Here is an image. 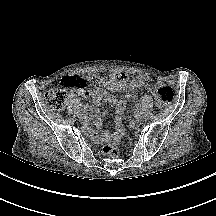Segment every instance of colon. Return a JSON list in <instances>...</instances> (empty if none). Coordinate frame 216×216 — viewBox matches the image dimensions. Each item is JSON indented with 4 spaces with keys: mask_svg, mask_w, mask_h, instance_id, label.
I'll return each instance as SVG.
<instances>
[{
    "mask_svg": "<svg viewBox=\"0 0 216 216\" xmlns=\"http://www.w3.org/2000/svg\"><path fill=\"white\" fill-rule=\"evenodd\" d=\"M88 82L77 75L64 77L62 82L55 88L50 89L44 95L45 102L54 109L62 110L68 100L75 94L84 91ZM157 95L164 104H169L174 99L173 89L168 85L159 86ZM104 155L118 157L119 150L113 145H105L101 149Z\"/></svg>",
    "mask_w": 216,
    "mask_h": 216,
    "instance_id": "colon-1",
    "label": "colon"
}]
</instances>
